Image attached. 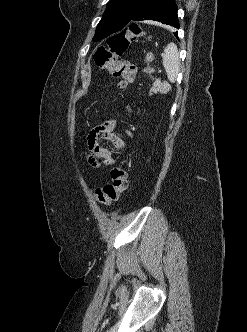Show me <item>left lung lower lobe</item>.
Here are the masks:
<instances>
[{
	"instance_id": "0a47b994",
	"label": "left lung lower lobe",
	"mask_w": 247,
	"mask_h": 332,
	"mask_svg": "<svg viewBox=\"0 0 247 332\" xmlns=\"http://www.w3.org/2000/svg\"><path fill=\"white\" fill-rule=\"evenodd\" d=\"M145 20H154L179 28L175 0H147L131 18L127 27L134 24L133 22Z\"/></svg>"
}]
</instances>
